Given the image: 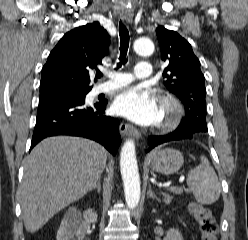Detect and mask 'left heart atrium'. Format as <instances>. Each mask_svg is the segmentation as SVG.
I'll use <instances>...</instances> for the list:
<instances>
[{
    "label": "left heart atrium",
    "instance_id": "obj_1",
    "mask_svg": "<svg viewBox=\"0 0 248 240\" xmlns=\"http://www.w3.org/2000/svg\"><path fill=\"white\" fill-rule=\"evenodd\" d=\"M114 110L141 125H155L162 118L156 94L138 86L122 91L114 101Z\"/></svg>",
    "mask_w": 248,
    "mask_h": 240
}]
</instances>
